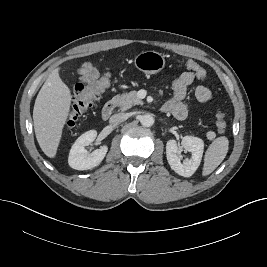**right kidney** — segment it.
I'll use <instances>...</instances> for the list:
<instances>
[{
	"instance_id": "obj_1",
	"label": "right kidney",
	"mask_w": 267,
	"mask_h": 267,
	"mask_svg": "<svg viewBox=\"0 0 267 267\" xmlns=\"http://www.w3.org/2000/svg\"><path fill=\"white\" fill-rule=\"evenodd\" d=\"M97 136L95 130H90L82 134L73 144L69 157V166L75 170H89L99 165L104 159L108 147L106 145L101 146L92 153H88L85 149L86 146L91 144Z\"/></svg>"
}]
</instances>
